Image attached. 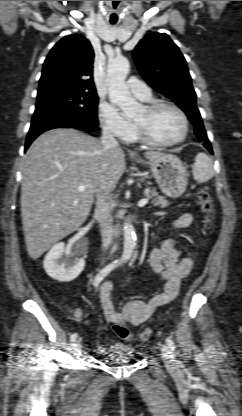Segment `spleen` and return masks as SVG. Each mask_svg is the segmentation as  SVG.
I'll return each instance as SVG.
<instances>
[{
	"mask_svg": "<svg viewBox=\"0 0 242 416\" xmlns=\"http://www.w3.org/2000/svg\"><path fill=\"white\" fill-rule=\"evenodd\" d=\"M193 177L198 182H206L214 176L212 160L205 153H198L193 165Z\"/></svg>",
	"mask_w": 242,
	"mask_h": 416,
	"instance_id": "spleen-1",
	"label": "spleen"
}]
</instances>
